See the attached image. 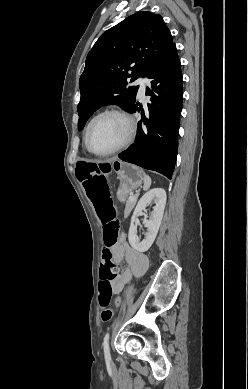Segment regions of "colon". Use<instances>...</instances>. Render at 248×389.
<instances>
[{"label": "colon", "instance_id": "5ec220e1", "mask_svg": "<svg viewBox=\"0 0 248 389\" xmlns=\"http://www.w3.org/2000/svg\"><path fill=\"white\" fill-rule=\"evenodd\" d=\"M77 167L79 180L103 225L104 250L100 273L99 305L101 320L109 322L113 318V310L110 307L113 294L112 282L117 276V266L113 262L110 248L117 242L120 228L107 179L112 166L110 161H78ZM122 299L121 294L114 298L115 310L121 309Z\"/></svg>", "mask_w": 248, "mask_h": 389}]
</instances>
